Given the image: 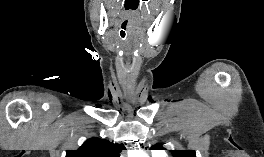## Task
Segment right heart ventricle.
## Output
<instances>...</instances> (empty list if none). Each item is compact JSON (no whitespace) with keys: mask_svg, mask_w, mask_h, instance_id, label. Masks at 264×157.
Listing matches in <instances>:
<instances>
[{"mask_svg":"<svg viewBox=\"0 0 264 157\" xmlns=\"http://www.w3.org/2000/svg\"><path fill=\"white\" fill-rule=\"evenodd\" d=\"M153 157H167L165 154H162V153H154L153 154Z\"/></svg>","mask_w":264,"mask_h":157,"instance_id":"e07e8e85","label":"right heart ventricle"}]
</instances>
